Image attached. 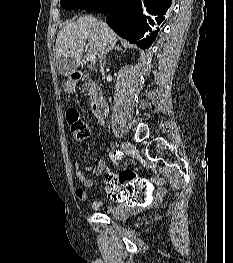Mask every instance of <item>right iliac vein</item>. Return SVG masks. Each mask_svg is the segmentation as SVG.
Masks as SVG:
<instances>
[{
    "label": "right iliac vein",
    "instance_id": "right-iliac-vein-1",
    "mask_svg": "<svg viewBox=\"0 0 233 263\" xmlns=\"http://www.w3.org/2000/svg\"><path fill=\"white\" fill-rule=\"evenodd\" d=\"M120 147L126 154L134 155L137 152L136 147L129 142H123Z\"/></svg>",
    "mask_w": 233,
    "mask_h": 263
}]
</instances>
